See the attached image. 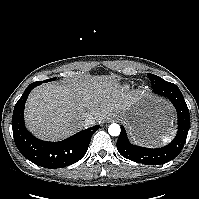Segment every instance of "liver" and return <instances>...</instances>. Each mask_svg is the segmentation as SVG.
<instances>
[{"label":"liver","instance_id":"1","mask_svg":"<svg viewBox=\"0 0 199 199\" xmlns=\"http://www.w3.org/2000/svg\"><path fill=\"white\" fill-rule=\"evenodd\" d=\"M131 104L132 97L111 76L76 78L35 88L26 102L25 119L37 137L54 141L85 128L83 121L89 114L99 122Z\"/></svg>","mask_w":199,"mask_h":199}]
</instances>
